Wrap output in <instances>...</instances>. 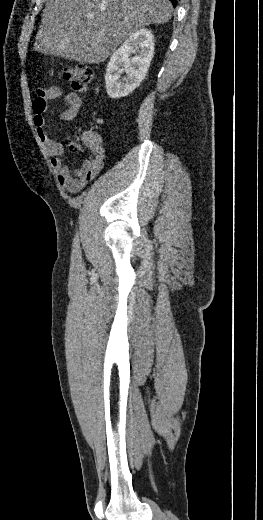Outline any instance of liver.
Masks as SVG:
<instances>
[{"label":"liver","mask_w":263,"mask_h":520,"mask_svg":"<svg viewBox=\"0 0 263 520\" xmlns=\"http://www.w3.org/2000/svg\"><path fill=\"white\" fill-rule=\"evenodd\" d=\"M171 15L169 0H47L34 48L97 64L138 30L167 23Z\"/></svg>","instance_id":"obj_1"}]
</instances>
